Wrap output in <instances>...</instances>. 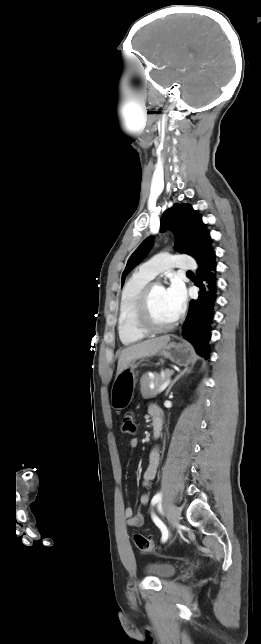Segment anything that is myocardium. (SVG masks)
I'll use <instances>...</instances> for the list:
<instances>
[{"label": "myocardium", "instance_id": "myocardium-1", "mask_svg": "<svg viewBox=\"0 0 261 644\" xmlns=\"http://www.w3.org/2000/svg\"><path fill=\"white\" fill-rule=\"evenodd\" d=\"M156 283H148L141 291L135 309V324L139 330L146 334H158L172 330L178 323L175 318L171 323L163 326L156 325L150 316V297ZM160 286V285H159ZM162 287V286H161Z\"/></svg>", "mask_w": 261, "mask_h": 644}]
</instances>
